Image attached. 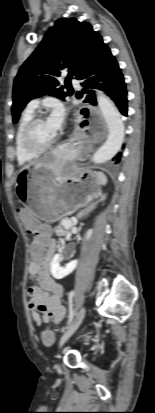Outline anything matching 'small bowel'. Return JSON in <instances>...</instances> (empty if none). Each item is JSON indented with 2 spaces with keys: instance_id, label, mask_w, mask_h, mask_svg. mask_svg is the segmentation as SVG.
<instances>
[{
  "instance_id": "c3829d8e",
  "label": "small bowel",
  "mask_w": 155,
  "mask_h": 413,
  "mask_svg": "<svg viewBox=\"0 0 155 413\" xmlns=\"http://www.w3.org/2000/svg\"><path fill=\"white\" fill-rule=\"evenodd\" d=\"M15 211L24 223L26 231H38L44 239L47 253L43 261L32 260L28 266L29 275L36 280V284L29 288V309L32 321L40 326L45 323H58L64 319L66 309L62 304L63 286L50 274V264L55 252V242L51 238V229L47 226L46 218H32L34 211L26 209L24 205H17Z\"/></svg>"
}]
</instances>
